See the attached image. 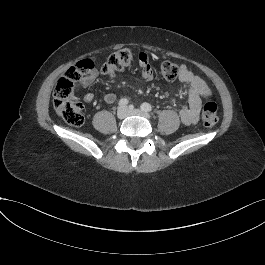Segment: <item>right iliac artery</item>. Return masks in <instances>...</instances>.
<instances>
[{
	"mask_svg": "<svg viewBox=\"0 0 265 265\" xmlns=\"http://www.w3.org/2000/svg\"><path fill=\"white\" fill-rule=\"evenodd\" d=\"M128 103H129L128 100L125 99V98H123V99H121V100L119 101L118 105H119L120 107H125V106L128 105ZM130 107H133V106H130Z\"/></svg>",
	"mask_w": 265,
	"mask_h": 265,
	"instance_id": "1",
	"label": "right iliac artery"
}]
</instances>
